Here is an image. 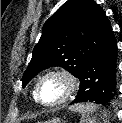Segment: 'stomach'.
Instances as JSON below:
<instances>
[{
	"instance_id": "0dacf381",
	"label": "stomach",
	"mask_w": 122,
	"mask_h": 123,
	"mask_svg": "<svg viewBox=\"0 0 122 123\" xmlns=\"http://www.w3.org/2000/svg\"><path fill=\"white\" fill-rule=\"evenodd\" d=\"M47 123H61V120L59 118H57V119H53Z\"/></svg>"
}]
</instances>
